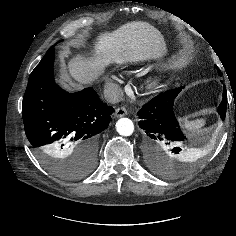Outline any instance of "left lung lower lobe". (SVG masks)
Instances as JSON below:
<instances>
[{"instance_id": "left-lung-lower-lobe-1", "label": "left lung lower lobe", "mask_w": 236, "mask_h": 236, "mask_svg": "<svg viewBox=\"0 0 236 236\" xmlns=\"http://www.w3.org/2000/svg\"><path fill=\"white\" fill-rule=\"evenodd\" d=\"M221 76V72L219 71ZM184 87L168 90L145 104L139 110L141 119L139 126L144 130L147 144V159L150 165L160 166L165 158L162 148L169 149V154L174 157L181 154V143L186 137L180 129L179 123L173 112V102ZM227 108V92L223 87V99L218 107V113L224 120Z\"/></svg>"}]
</instances>
